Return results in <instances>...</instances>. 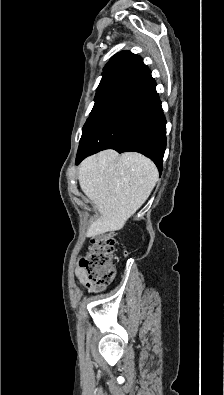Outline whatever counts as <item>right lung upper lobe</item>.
<instances>
[{
    "label": "right lung upper lobe",
    "mask_w": 224,
    "mask_h": 395,
    "mask_svg": "<svg viewBox=\"0 0 224 395\" xmlns=\"http://www.w3.org/2000/svg\"><path fill=\"white\" fill-rule=\"evenodd\" d=\"M135 54L130 51H122L114 55L103 69V76L110 75L115 72H119L123 65L134 57Z\"/></svg>",
    "instance_id": "cb5924a9"
}]
</instances>
